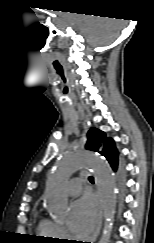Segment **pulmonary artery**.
I'll return each mask as SVG.
<instances>
[{
    "label": "pulmonary artery",
    "mask_w": 154,
    "mask_h": 243,
    "mask_svg": "<svg viewBox=\"0 0 154 243\" xmlns=\"http://www.w3.org/2000/svg\"><path fill=\"white\" fill-rule=\"evenodd\" d=\"M84 174L85 171H82V175ZM65 189L69 195H77L81 191V181L78 178H73L66 184Z\"/></svg>",
    "instance_id": "pulmonary-artery-1"
}]
</instances>
